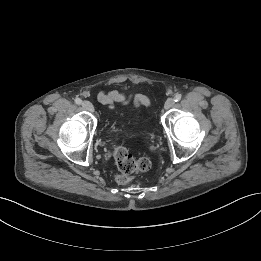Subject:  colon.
<instances>
[{"instance_id":"colon-1","label":"colon","mask_w":261,"mask_h":261,"mask_svg":"<svg viewBox=\"0 0 261 261\" xmlns=\"http://www.w3.org/2000/svg\"><path fill=\"white\" fill-rule=\"evenodd\" d=\"M114 159L119 170L116 181L119 184H126L131 180V174L145 172L150 169L151 162L147 158L135 159L124 147H116Z\"/></svg>"}]
</instances>
